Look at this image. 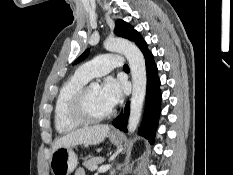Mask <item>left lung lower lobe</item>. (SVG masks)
I'll use <instances>...</instances> for the list:
<instances>
[{
	"label": "left lung lower lobe",
	"instance_id": "1",
	"mask_svg": "<svg viewBox=\"0 0 233 175\" xmlns=\"http://www.w3.org/2000/svg\"><path fill=\"white\" fill-rule=\"evenodd\" d=\"M140 50L142 51L146 62L147 94L145 115L139 134L147 138L150 143H153L160 114V80L157 74V66L154 62L152 53L148 50L147 44H144ZM128 116L129 104L126 105L124 113L115 118L112 124L121 131L127 132L126 121Z\"/></svg>",
	"mask_w": 233,
	"mask_h": 175
}]
</instances>
